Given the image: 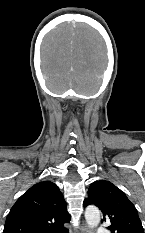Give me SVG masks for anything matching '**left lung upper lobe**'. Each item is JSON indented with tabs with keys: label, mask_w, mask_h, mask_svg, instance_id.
Segmentation results:
<instances>
[{
	"label": "left lung upper lobe",
	"mask_w": 145,
	"mask_h": 233,
	"mask_svg": "<svg viewBox=\"0 0 145 233\" xmlns=\"http://www.w3.org/2000/svg\"><path fill=\"white\" fill-rule=\"evenodd\" d=\"M95 205L102 211L111 233H144L135 206L114 184L106 180L92 183L83 206Z\"/></svg>",
	"instance_id": "left-lung-upper-lobe-1"
}]
</instances>
